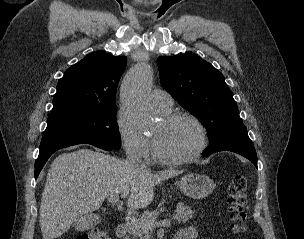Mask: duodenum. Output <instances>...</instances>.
I'll list each match as a JSON object with an SVG mask.
<instances>
[{
  "instance_id": "duodenum-1",
  "label": "duodenum",
  "mask_w": 304,
  "mask_h": 239,
  "mask_svg": "<svg viewBox=\"0 0 304 239\" xmlns=\"http://www.w3.org/2000/svg\"><path fill=\"white\" fill-rule=\"evenodd\" d=\"M128 231H129L128 223L123 222L117 226L116 235L117 237L124 238L128 234ZM174 239H182V237L177 234Z\"/></svg>"
}]
</instances>
